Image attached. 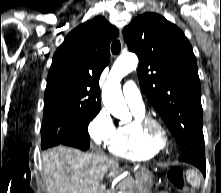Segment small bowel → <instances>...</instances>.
<instances>
[{"mask_svg": "<svg viewBox=\"0 0 221 193\" xmlns=\"http://www.w3.org/2000/svg\"><path fill=\"white\" fill-rule=\"evenodd\" d=\"M159 193H169V192H167V191H161V192H159Z\"/></svg>", "mask_w": 221, "mask_h": 193, "instance_id": "1", "label": "small bowel"}]
</instances>
